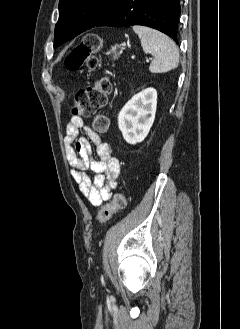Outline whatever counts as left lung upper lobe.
I'll return each mask as SVG.
<instances>
[{"instance_id": "1", "label": "left lung upper lobe", "mask_w": 240, "mask_h": 329, "mask_svg": "<svg viewBox=\"0 0 240 329\" xmlns=\"http://www.w3.org/2000/svg\"><path fill=\"white\" fill-rule=\"evenodd\" d=\"M119 0H60L54 48L101 21Z\"/></svg>"}]
</instances>
